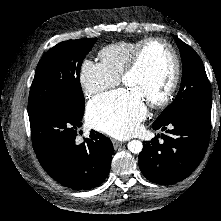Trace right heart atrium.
Here are the masks:
<instances>
[{
  "label": "right heart atrium",
  "instance_id": "obj_1",
  "mask_svg": "<svg viewBox=\"0 0 221 221\" xmlns=\"http://www.w3.org/2000/svg\"><path fill=\"white\" fill-rule=\"evenodd\" d=\"M80 82L85 94L93 97L116 86L119 78L106 72L100 63L85 60L80 69Z\"/></svg>",
  "mask_w": 221,
  "mask_h": 221
}]
</instances>
